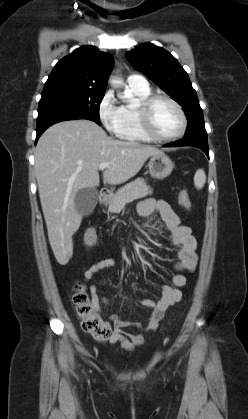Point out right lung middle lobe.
Masks as SVG:
<instances>
[{
  "mask_svg": "<svg viewBox=\"0 0 248 419\" xmlns=\"http://www.w3.org/2000/svg\"><path fill=\"white\" fill-rule=\"evenodd\" d=\"M104 92L75 87L44 88L38 116L57 112H79L100 124L99 107Z\"/></svg>",
  "mask_w": 248,
  "mask_h": 419,
  "instance_id": "right-lung-middle-lobe-1",
  "label": "right lung middle lobe"
}]
</instances>
